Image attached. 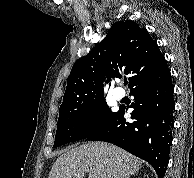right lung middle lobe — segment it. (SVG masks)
I'll return each instance as SVG.
<instances>
[{"mask_svg":"<svg viewBox=\"0 0 194 178\" xmlns=\"http://www.w3.org/2000/svg\"><path fill=\"white\" fill-rule=\"evenodd\" d=\"M114 113L109 110L104 97L76 109L59 113L53 147L86 139Z\"/></svg>","mask_w":194,"mask_h":178,"instance_id":"right-lung-middle-lobe-1","label":"right lung middle lobe"}]
</instances>
